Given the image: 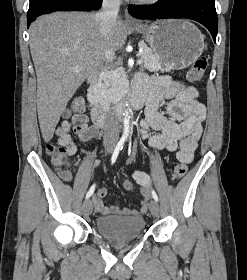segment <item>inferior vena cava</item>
Masks as SVG:
<instances>
[{"mask_svg":"<svg viewBox=\"0 0 247 280\" xmlns=\"http://www.w3.org/2000/svg\"><path fill=\"white\" fill-rule=\"evenodd\" d=\"M121 5V0H103L101 11L97 14L100 19V29L105 37H109L116 25L117 15ZM106 61H112L115 58L114 52L110 49L105 50ZM119 139V126L117 119L111 116L108 119L104 132V143H116Z\"/></svg>","mask_w":247,"mask_h":280,"instance_id":"602c4592","label":"inferior vena cava"}]
</instances>
